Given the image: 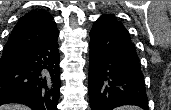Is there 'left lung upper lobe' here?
<instances>
[{
  "label": "left lung upper lobe",
  "instance_id": "1",
  "mask_svg": "<svg viewBox=\"0 0 171 110\" xmlns=\"http://www.w3.org/2000/svg\"><path fill=\"white\" fill-rule=\"evenodd\" d=\"M106 15V14H105ZM106 16H108V17H110V18H112V19H114V20H116L115 19V17H113V16H111V15H106ZM117 21V20H116ZM118 22V21H117ZM120 25H121V27L128 33V31L126 30V28L122 25V23H120V22H118Z\"/></svg>",
  "mask_w": 171,
  "mask_h": 110
}]
</instances>
